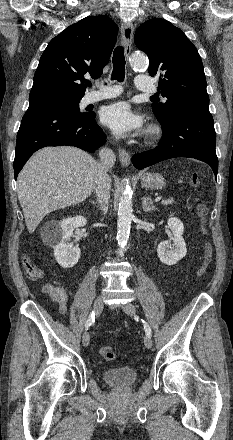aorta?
<instances>
[{"label": "aorta", "mask_w": 233, "mask_h": 440, "mask_svg": "<svg viewBox=\"0 0 233 440\" xmlns=\"http://www.w3.org/2000/svg\"><path fill=\"white\" fill-rule=\"evenodd\" d=\"M130 65L134 70H145L148 67V59L142 53H135L130 57ZM133 218L132 190L127 182L122 189L118 207L117 241L123 248L129 239L131 221Z\"/></svg>", "instance_id": "obj_1"}]
</instances>
